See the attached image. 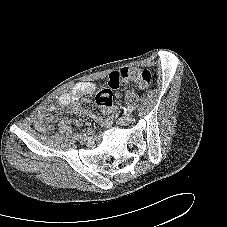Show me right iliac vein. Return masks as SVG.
<instances>
[{
	"instance_id": "obj_1",
	"label": "right iliac vein",
	"mask_w": 227,
	"mask_h": 227,
	"mask_svg": "<svg viewBox=\"0 0 227 227\" xmlns=\"http://www.w3.org/2000/svg\"><path fill=\"white\" fill-rule=\"evenodd\" d=\"M86 140H87V138H85L83 135H80L78 137V141L81 142V143L85 142Z\"/></svg>"
}]
</instances>
